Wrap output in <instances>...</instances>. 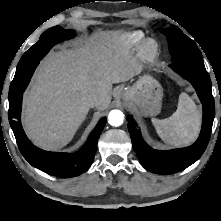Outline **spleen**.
<instances>
[{
	"label": "spleen",
	"mask_w": 221,
	"mask_h": 221,
	"mask_svg": "<svg viewBox=\"0 0 221 221\" xmlns=\"http://www.w3.org/2000/svg\"><path fill=\"white\" fill-rule=\"evenodd\" d=\"M152 123L164 142L174 146H186L199 134L201 113L194 101L186 93H182L176 111L166 119L152 118Z\"/></svg>",
	"instance_id": "3e777b00"
}]
</instances>
